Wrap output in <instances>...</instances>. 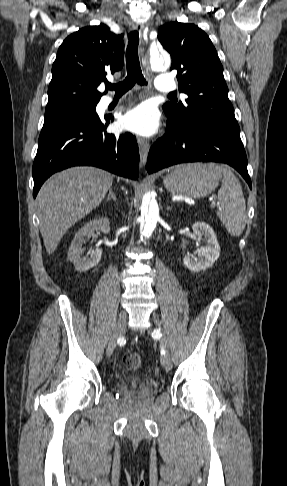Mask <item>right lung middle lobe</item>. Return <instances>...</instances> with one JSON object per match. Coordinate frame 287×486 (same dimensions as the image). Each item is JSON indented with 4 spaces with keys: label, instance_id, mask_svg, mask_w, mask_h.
<instances>
[{
    "label": "right lung middle lobe",
    "instance_id": "obj_1",
    "mask_svg": "<svg viewBox=\"0 0 287 486\" xmlns=\"http://www.w3.org/2000/svg\"><path fill=\"white\" fill-rule=\"evenodd\" d=\"M97 102H79L46 108L43 128L54 127L63 123L78 122L97 116Z\"/></svg>",
    "mask_w": 287,
    "mask_h": 486
}]
</instances>
